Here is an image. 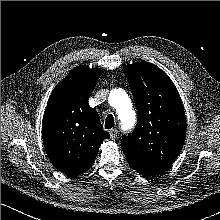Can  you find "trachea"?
Here are the masks:
<instances>
[{
    "label": "trachea",
    "mask_w": 220,
    "mask_h": 220,
    "mask_svg": "<svg viewBox=\"0 0 220 220\" xmlns=\"http://www.w3.org/2000/svg\"><path fill=\"white\" fill-rule=\"evenodd\" d=\"M114 127V117L113 115L109 114L106 117V121H105V129H111Z\"/></svg>",
    "instance_id": "3493384b"
}]
</instances>
